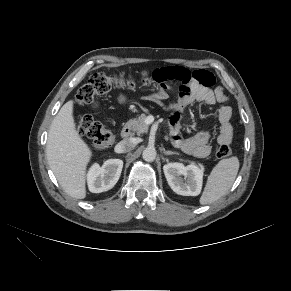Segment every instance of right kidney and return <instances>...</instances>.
I'll return each instance as SVG.
<instances>
[{
  "mask_svg": "<svg viewBox=\"0 0 291 291\" xmlns=\"http://www.w3.org/2000/svg\"><path fill=\"white\" fill-rule=\"evenodd\" d=\"M122 167L123 161L120 159H109L101 167L93 164L87 174L89 190L101 193L112 189L119 180Z\"/></svg>",
  "mask_w": 291,
  "mask_h": 291,
  "instance_id": "obj_1",
  "label": "right kidney"
}]
</instances>
